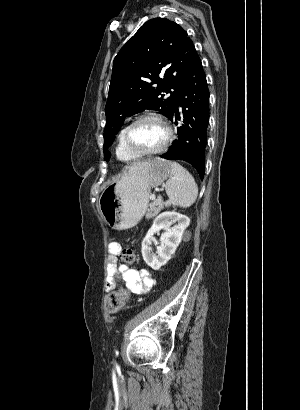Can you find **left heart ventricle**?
<instances>
[{"label":"left heart ventricle","instance_id":"b2bd125f","mask_svg":"<svg viewBox=\"0 0 300 410\" xmlns=\"http://www.w3.org/2000/svg\"><path fill=\"white\" fill-rule=\"evenodd\" d=\"M166 131L162 124L154 119L139 122L131 131L132 143L141 150H154L162 145Z\"/></svg>","mask_w":300,"mask_h":410}]
</instances>
